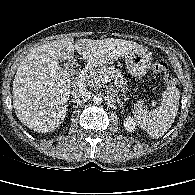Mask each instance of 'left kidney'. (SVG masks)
Segmentation results:
<instances>
[{"instance_id":"obj_1","label":"left kidney","mask_w":195,"mask_h":195,"mask_svg":"<svg viewBox=\"0 0 195 195\" xmlns=\"http://www.w3.org/2000/svg\"><path fill=\"white\" fill-rule=\"evenodd\" d=\"M124 127L128 132L135 131L136 128H135V122H134L133 117L128 116V117L125 118Z\"/></svg>"}]
</instances>
